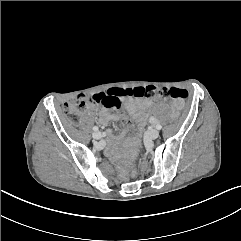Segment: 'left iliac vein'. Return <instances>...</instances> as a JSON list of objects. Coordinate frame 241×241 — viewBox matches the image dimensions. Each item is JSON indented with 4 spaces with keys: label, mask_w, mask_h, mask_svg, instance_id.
<instances>
[{
    "label": "left iliac vein",
    "mask_w": 241,
    "mask_h": 241,
    "mask_svg": "<svg viewBox=\"0 0 241 241\" xmlns=\"http://www.w3.org/2000/svg\"><path fill=\"white\" fill-rule=\"evenodd\" d=\"M147 134H148V137H149L150 139H156V138H158V136H159V131L156 130V129H151V130L148 131Z\"/></svg>",
    "instance_id": "left-iliac-vein-1"
}]
</instances>
